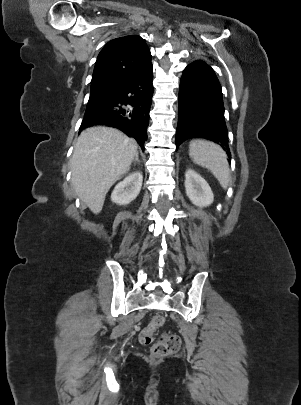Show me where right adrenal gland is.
<instances>
[{
    "mask_svg": "<svg viewBox=\"0 0 301 405\" xmlns=\"http://www.w3.org/2000/svg\"><path fill=\"white\" fill-rule=\"evenodd\" d=\"M136 162H138V163H139V159H138V152H136V154H135V160H134V164H135Z\"/></svg>",
    "mask_w": 301,
    "mask_h": 405,
    "instance_id": "obj_1",
    "label": "right adrenal gland"
}]
</instances>
